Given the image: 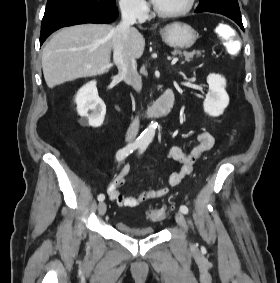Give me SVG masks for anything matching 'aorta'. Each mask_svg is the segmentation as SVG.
Instances as JSON below:
<instances>
[{"label":"aorta","instance_id":"aorta-1","mask_svg":"<svg viewBox=\"0 0 280 283\" xmlns=\"http://www.w3.org/2000/svg\"><path fill=\"white\" fill-rule=\"evenodd\" d=\"M156 128H157V122L152 121L141 134L140 141L144 144H149L155 136Z\"/></svg>","mask_w":280,"mask_h":283}]
</instances>
